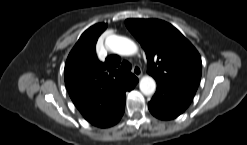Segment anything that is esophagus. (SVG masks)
Wrapping results in <instances>:
<instances>
[{"mask_svg":"<svg viewBox=\"0 0 247 145\" xmlns=\"http://www.w3.org/2000/svg\"><path fill=\"white\" fill-rule=\"evenodd\" d=\"M132 72H133V74L136 75L138 78H140L141 75H142L141 68H140L139 66H137V65H135V66L133 67Z\"/></svg>","mask_w":247,"mask_h":145,"instance_id":"esophagus-1","label":"esophagus"}]
</instances>
